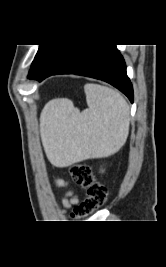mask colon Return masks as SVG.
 Instances as JSON below:
<instances>
[{"instance_id": "colon-1", "label": "colon", "mask_w": 166, "mask_h": 267, "mask_svg": "<svg viewBox=\"0 0 166 267\" xmlns=\"http://www.w3.org/2000/svg\"><path fill=\"white\" fill-rule=\"evenodd\" d=\"M74 183L85 190V198L76 205L71 213L75 220L83 219L102 207L107 198L106 187L97 181L91 168L87 165L76 164L70 169Z\"/></svg>"}]
</instances>
